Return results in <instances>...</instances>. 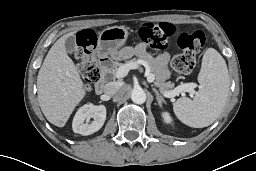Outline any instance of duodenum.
<instances>
[{
	"label": "duodenum",
	"mask_w": 256,
	"mask_h": 171,
	"mask_svg": "<svg viewBox=\"0 0 256 171\" xmlns=\"http://www.w3.org/2000/svg\"><path fill=\"white\" fill-rule=\"evenodd\" d=\"M97 64L99 66L101 75H100L98 82L95 85V92L97 94H101L105 87V76H106L107 71L112 66V61H111V59H109L107 57H101L98 59Z\"/></svg>",
	"instance_id": "410a0bca"
}]
</instances>
